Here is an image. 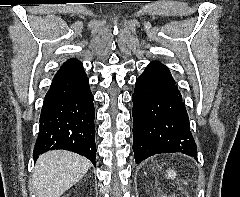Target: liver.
I'll return each mask as SVG.
<instances>
[{
    "label": "liver",
    "instance_id": "liver-1",
    "mask_svg": "<svg viewBox=\"0 0 240 197\" xmlns=\"http://www.w3.org/2000/svg\"><path fill=\"white\" fill-rule=\"evenodd\" d=\"M91 162L76 153L52 150L39 156L33 174L37 197H60L90 169Z\"/></svg>",
    "mask_w": 240,
    "mask_h": 197
}]
</instances>
